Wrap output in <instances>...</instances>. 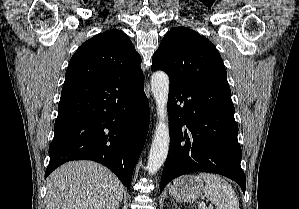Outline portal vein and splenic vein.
I'll use <instances>...</instances> for the list:
<instances>
[{
    "instance_id": "portal-vein-and-splenic-vein-1",
    "label": "portal vein and splenic vein",
    "mask_w": 299,
    "mask_h": 209,
    "mask_svg": "<svg viewBox=\"0 0 299 209\" xmlns=\"http://www.w3.org/2000/svg\"><path fill=\"white\" fill-rule=\"evenodd\" d=\"M200 206H202V209H213V206H212V205H210V206H208V207H205V203H204V202H202V203L200 204Z\"/></svg>"
}]
</instances>
